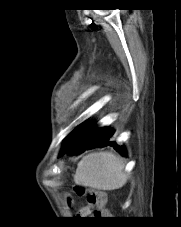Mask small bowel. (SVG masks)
<instances>
[{
  "label": "small bowel",
  "mask_w": 181,
  "mask_h": 227,
  "mask_svg": "<svg viewBox=\"0 0 181 227\" xmlns=\"http://www.w3.org/2000/svg\"><path fill=\"white\" fill-rule=\"evenodd\" d=\"M81 212H82V213H86V214L89 213V212H90V206H89V207H84V208H82V209H81Z\"/></svg>",
  "instance_id": "c3829d8e"
}]
</instances>
